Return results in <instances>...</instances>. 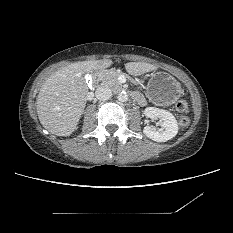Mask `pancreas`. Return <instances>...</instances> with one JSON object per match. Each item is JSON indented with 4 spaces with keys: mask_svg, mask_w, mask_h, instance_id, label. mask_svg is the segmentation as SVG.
<instances>
[{
    "mask_svg": "<svg viewBox=\"0 0 233 233\" xmlns=\"http://www.w3.org/2000/svg\"><path fill=\"white\" fill-rule=\"evenodd\" d=\"M121 74L120 71H110L103 76V82L110 87L119 89L122 84L118 81V76Z\"/></svg>",
    "mask_w": 233,
    "mask_h": 233,
    "instance_id": "1",
    "label": "pancreas"
}]
</instances>
